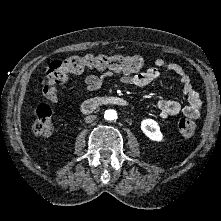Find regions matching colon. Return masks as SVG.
I'll list each match as a JSON object with an SVG mask.
<instances>
[{
	"label": "colon",
	"instance_id": "5ec220e1",
	"mask_svg": "<svg viewBox=\"0 0 221 221\" xmlns=\"http://www.w3.org/2000/svg\"><path fill=\"white\" fill-rule=\"evenodd\" d=\"M145 61L140 56H72L64 60L51 62L46 70L41 86L43 95L48 99L58 98L59 88L69 74L81 73L85 67L109 68L122 73H135L141 70ZM179 132L190 137L196 130L195 122L190 118H182L178 122ZM53 132L52 111L46 105H39L34 112L33 133L39 137H48Z\"/></svg>",
	"mask_w": 221,
	"mask_h": 221
}]
</instances>
